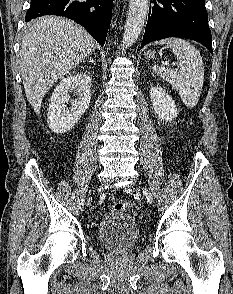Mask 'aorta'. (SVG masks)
Instances as JSON below:
<instances>
[{
  "label": "aorta",
  "instance_id": "1",
  "mask_svg": "<svg viewBox=\"0 0 233 294\" xmlns=\"http://www.w3.org/2000/svg\"><path fill=\"white\" fill-rule=\"evenodd\" d=\"M149 10L148 0H130L125 23L123 42L130 47L138 39Z\"/></svg>",
  "mask_w": 233,
  "mask_h": 294
}]
</instances>
